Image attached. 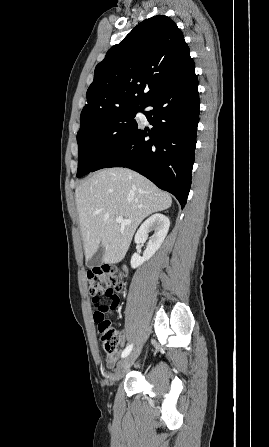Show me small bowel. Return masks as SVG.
Instances as JSON below:
<instances>
[{"label":"small bowel","instance_id":"1","mask_svg":"<svg viewBox=\"0 0 269 447\" xmlns=\"http://www.w3.org/2000/svg\"><path fill=\"white\" fill-rule=\"evenodd\" d=\"M118 333L120 334V342H121V344L122 345L125 344L126 336H125V333H124V329L123 328L119 329ZM118 357H119L118 353L107 354L106 357H105V364H106V366L109 367V368L113 367L115 365V363L117 362Z\"/></svg>","mask_w":269,"mask_h":447}]
</instances>
